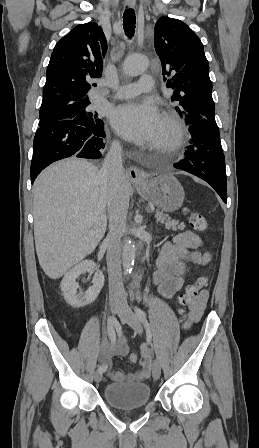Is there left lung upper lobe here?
Masks as SVG:
<instances>
[{
  "label": "left lung upper lobe",
  "instance_id": "1",
  "mask_svg": "<svg viewBox=\"0 0 259 448\" xmlns=\"http://www.w3.org/2000/svg\"><path fill=\"white\" fill-rule=\"evenodd\" d=\"M154 45L166 87L180 107V116L201 114L215 118L209 63L199 37L182 21L161 17L155 24Z\"/></svg>",
  "mask_w": 259,
  "mask_h": 448
}]
</instances>
